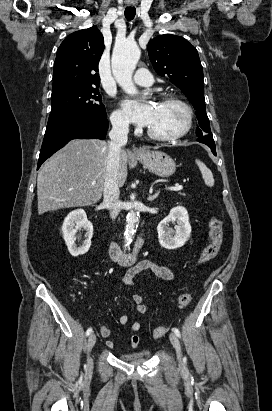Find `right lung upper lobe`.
<instances>
[{"mask_svg":"<svg viewBox=\"0 0 272 411\" xmlns=\"http://www.w3.org/2000/svg\"><path fill=\"white\" fill-rule=\"evenodd\" d=\"M103 50V35L94 27L68 35L57 51L52 96L70 89L98 87V63Z\"/></svg>","mask_w":272,"mask_h":411,"instance_id":"1","label":"right lung upper lobe"}]
</instances>
